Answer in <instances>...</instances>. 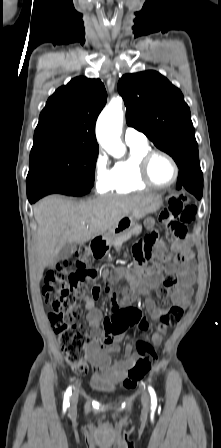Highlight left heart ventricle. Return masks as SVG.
Returning a JSON list of instances; mask_svg holds the SVG:
<instances>
[{
	"label": "left heart ventricle",
	"instance_id": "b2bd125f",
	"mask_svg": "<svg viewBox=\"0 0 221 448\" xmlns=\"http://www.w3.org/2000/svg\"><path fill=\"white\" fill-rule=\"evenodd\" d=\"M150 175L158 184H167L174 178L175 170L164 156H156L150 166Z\"/></svg>",
	"mask_w": 221,
	"mask_h": 448
}]
</instances>
